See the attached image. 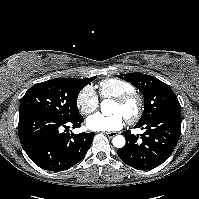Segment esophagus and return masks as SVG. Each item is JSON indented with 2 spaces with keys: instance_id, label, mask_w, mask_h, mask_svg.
I'll list each match as a JSON object with an SVG mask.
<instances>
[{
  "instance_id": "1",
  "label": "esophagus",
  "mask_w": 199,
  "mask_h": 199,
  "mask_svg": "<svg viewBox=\"0 0 199 199\" xmlns=\"http://www.w3.org/2000/svg\"><path fill=\"white\" fill-rule=\"evenodd\" d=\"M105 134H106L109 138H112V137H114L115 135H117V132H105Z\"/></svg>"
}]
</instances>
